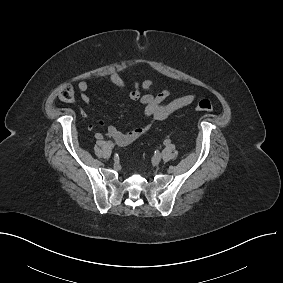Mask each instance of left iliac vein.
<instances>
[{
  "label": "left iliac vein",
  "mask_w": 283,
  "mask_h": 283,
  "mask_svg": "<svg viewBox=\"0 0 283 283\" xmlns=\"http://www.w3.org/2000/svg\"><path fill=\"white\" fill-rule=\"evenodd\" d=\"M162 159V156L160 154H156L153 156L152 160L155 164H158Z\"/></svg>",
  "instance_id": "4c4485c4"
}]
</instances>
